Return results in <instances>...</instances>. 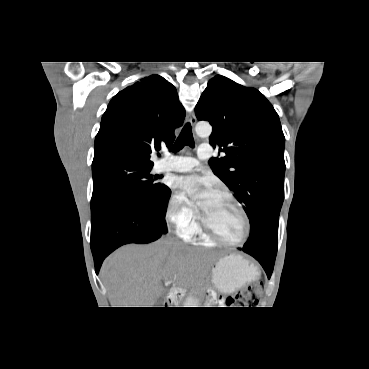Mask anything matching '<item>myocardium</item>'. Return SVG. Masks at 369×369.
I'll use <instances>...</instances> for the list:
<instances>
[{"instance_id":"1","label":"myocardium","mask_w":369,"mask_h":369,"mask_svg":"<svg viewBox=\"0 0 369 369\" xmlns=\"http://www.w3.org/2000/svg\"><path fill=\"white\" fill-rule=\"evenodd\" d=\"M215 193L220 196L228 198L238 208V210L240 211L243 217V221H244V234L241 239L236 240V241H230V240L224 239L211 229V227L205 221L202 213H199L198 219H199V228L201 232L209 240L223 244V245L240 246L244 244L248 240L250 236V231H251L250 219H249L247 211L232 193L226 190H217L215 191Z\"/></svg>"}]
</instances>
